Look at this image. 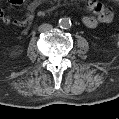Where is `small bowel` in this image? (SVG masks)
Instances as JSON below:
<instances>
[{
	"label": "small bowel",
	"mask_w": 119,
	"mask_h": 119,
	"mask_svg": "<svg viewBox=\"0 0 119 119\" xmlns=\"http://www.w3.org/2000/svg\"><path fill=\"white\" fill-rule=\"evenodd\" d=\"M10 5H22L23 0H9ZM42 3V1H33L31 2L28 7L25 15L22 18H15L10 15H6L1 13V18L3 22L7 25H19L24 26L30 22L33 16V12L35 9ZM95 6H99L98 9H95ZM86 7L94 12L93 16H85L82 19L83 24L91 29L97 28L99 25L108 24L113 19V13L109 8H106L96 0H89L86 2Z\"/></svg>",
	"instance_id": "1"
}]
</instances>
